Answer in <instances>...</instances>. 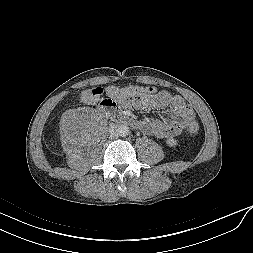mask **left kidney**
<instances>
[{"mask_svg": "<svg viewBox=\"0 0 253 253\" xmlns=\"http://www.w3.org/2000/svg\"><path fill=\"white\" fill-rule=\"evenodd\" d=\"M166 143L170 146V147H174L175 145H177V141L173 138H169L166 140Z\"/></svg>", "mask_w": 253, "mask_h": 253, "instance_id": "1", "label": "left kidney"}]
</instances>
